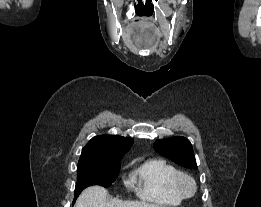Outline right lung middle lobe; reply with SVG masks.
<instances>
[{
    "instance_id": "obj_1",
    "label": "right lung middle lobe",
    "mask_w": 261,
    "mask_h": 207,
    "mask_svg": "<svg viewBox=\"0 0 261 207\" xmlns=\"http://www.w3.org/2000/svg\"><path fill=\"white\" fill-rule=\"evenodd\" d=\"M121 159L122 157H119L109 163L78 165L73 204L82 190L88 186L100 185L105 188L111 186L119 175Z\"/></svg>"
}]
</instances>
